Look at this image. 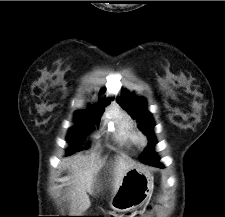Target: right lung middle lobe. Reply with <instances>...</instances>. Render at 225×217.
Instances as JSON below:
<instances>
[{
    "label": "right lung middle lobe",
    "instance_id": "obj_1",
    "mask_svg": "<svg viewBox=\"0 0 225 217\" xmlns=\"http://www.w3.org/2000/svg\"><path fill=\"white\" fill-rule=\"evenodd\" d=\"M108 102H109V100H101L99 102V104L97 106V109H99V112H97V114L100 113V110H101L100 107L106 105ZM94 108L95 107H91L90 109H94ZM75 117H76V120L79 122H82V121H86V122H85V125H79L76 127H72L69 130L67 141L71 145L79 144L82 141L83 137L86 136L89 133V131L91 130L89 127V124L93 123L94 121L95 122L98 121V115L95 118H93L90 116L88 111H78L76 113ZM75 151H76V149H68L67 154L71 155V154L75 153Z\"/></svg>",
    "mask_w": 225,
    "mask_h": 217
}]
</instances>
